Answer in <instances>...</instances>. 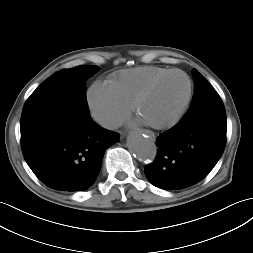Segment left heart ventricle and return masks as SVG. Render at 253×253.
I'll return each instance as SVG.
<instances>
[{"label": "left heart ventricle", "instance_id": "1", "mask_svg": "<svg viewBox=\"0 0 253 253\" xmlns=\"http://www.w3.org/2000/svg\"><path fill=\"white\" fill-rule=\"evenodd\" d=\"M186 93L187 81L182 75L167 77L144 99L139 117L147 123L167 122L180 108Z\"/></svg>", "mask_w": 253, "mask_h": 253}]
</instances>
